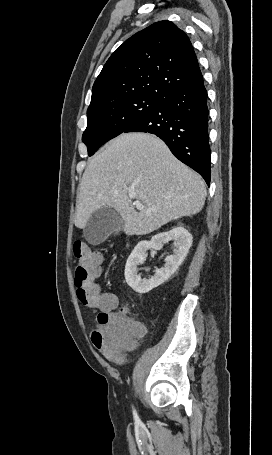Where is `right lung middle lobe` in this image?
<instances>
[{"instance_id": "1", "label": "right lung middle lobe", "mask_w": 272, "mask_h": 455, "mask_svg": "<svg viewBox=\"0 0 272 455\" xmlns=\"http://www.w3.org/2000/svg\"><path fill=\"white\" fill-rule=\"evenodd\" d=\"M163 98L150 95L127 97L87 110V128L82 141L91 156L110 139L156 110Z\"/></svg>"}]
</instances>
